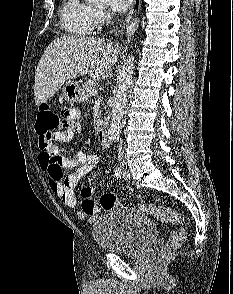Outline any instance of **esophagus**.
<instances>
[{"label": "esophagus", "instance_id": "esophagus-1", "mask_svg": "<svg viewBox=\"0 0 233 294\" xmlns=\"http://www.w3.org/2000/svg\"><path fill=\"white\" fill-rule=\"evenodd\" d=\"M140 7L141 0H133L132 8L126 17L124 24L126 28V36L128 37L131 36L136 30L135 17L139 12Z\"/></svg>", "mask_w": 233, "mask_h": 294}]
</instances>
